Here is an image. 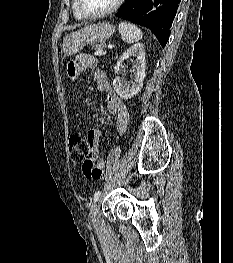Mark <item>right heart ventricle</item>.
Masks as SVG:
<instances>
[{
	"label": "right heart ventricle",
	"instance_id": "1",
	"mask_svg": "<svg viewBox=\"0 0 233 263\" xmlns=\"http://www.w3.org/2000/svg\"><path fill=\"white\" fill-rule=\"evenodd\" d=\"M73 13H74V16L76 19H78V20L83 19V16H81V14L79 13V11L77 9L76 0L74 1V4H73Z\"/></svg>",
	"mask_w": 233,
	"mask_h": 263
}]
</instances>
